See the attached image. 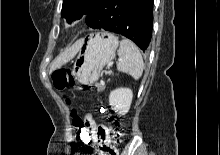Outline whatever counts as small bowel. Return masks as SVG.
I'll return each mask as SVG.
<instances>
[{
	"mask_svg": "<svg viewBox=\"0 0 220 155\" xmlns=\"http://www.w3.org/2000/svg\"><path fill=\"white\" fill-rule=\"evenodd\" d=\"M84 123H87V128L86 129H90V134L89 135H92V143H93L95 141L96 134H97V131L99 129V125L94 121V119L90 115H88L85 118ZM91 144H85V145L90 146Z\"/></svg>",
	"mask_w": 220,
	"mask_h": 155,
	"instance_id": "c3829d8e",
	"label": "small bowel"
}]
</instances>
